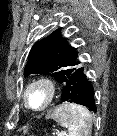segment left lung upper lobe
Wrapping results in <instances>:
<instances>
[{"label": "left lung upper lobe", "instance_id": "obj_1", "mask_svg": "<svg viewBox=\"0 0 117 136\" xmlns=\"http://www.w3.org/2000/svg\"><path fill=\"white\" fill-rule=\"evenodd\" d=\"M80 63L77 48L68 44L59 28L34 44L24 74L50 75L64 86Z\"/></svg>", "mask_w": 117, "mask_h": 136}]
</instances>
